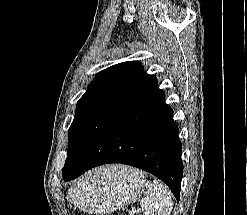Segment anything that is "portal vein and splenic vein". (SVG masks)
Segmentation results:
<instances>
[{"instance_id": "18ae733b", "label": "portal vein and splenic vein", "mask_w": 247, "mask_h": 215, "mask_svg": "<svg viewBox=\"0 0 247 215\" xmlns=\"http://www.w3.org/2000/svg\"><path fill=\"white\" fill-rule=\"evenodd\" d=\"M136 212H139L138 210H133L132 213H136Z\"/></svg>"}]
</instances>
